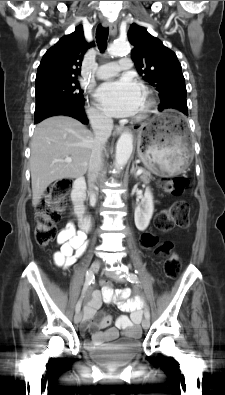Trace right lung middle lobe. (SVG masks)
<instances>
[{
    "label": "right lung middle lobe",
    "instance_id": "right-lung-middle-lobe-1",
    "mask_svg": "<svg viewBox=\"0 0 225 395\" xmlns=\"http://www.w3.org/2000/svg\"><path fill=\"white\" fill-rule=\"evenodd\" d=\"M36 108L38 113L46 107L62 101H83V92L77 79L51 81L36 85Z\"/></svg>",
    "mask_w": 225,
    "mask_h": 395
}]
</instances>
